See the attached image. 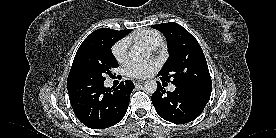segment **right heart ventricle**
<instances>
[{
    "instance_id": "obj_1",
    "label": "right heart ventricle",
    "mask_w": 276,
    "mask_h": 138,
    "mask_svg": "<svg viewBox=\"0 0 276 138\" xmlns=\"http://www.w3.org/2000/svg\"><path fill=\"white\" fill-rule=\"evenodd\" d=\"M133 39L140 41L152 49H157L163 42L161 34L152 29H145L132 35Z\"/></svg>"
}]
</instances>
